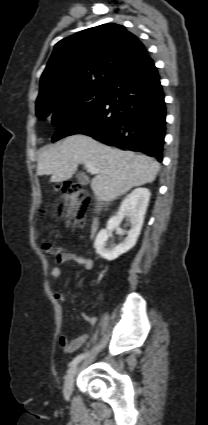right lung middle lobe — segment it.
<instances>
[{
	"label": "right lung middle lobe",
	"mask_w": 208,
	"mask_h": 425,
	"mask_svg": "<svg viewBox=\"0 0 208 425\" xmlns=\"http://www.w3.org/2000/svg\"><path fill=\"white\" fill-rule=\"evenodd\" d=\"M106 95L103 89H82L59 97L46 98L36 102V116L50 118L59 124L64 119L75 116L98 105Z\"/></svg>",
	"instance_id": "1"
}]
</instances>
